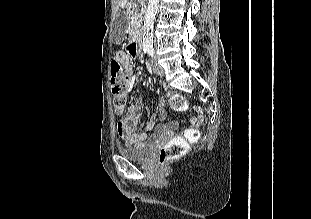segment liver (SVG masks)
Here are the masks:
<instances>
[{"label": "liver", "mask_w": 311, "mask_h": 219, "mask_svg": "<svg viewBox=\"0 0 311 219\" xmlns=\"http://www.w3.org/2000/svg\"><path fill=\"white\" fill-rule=\"evenodd\" d=\"M124 2H125V0H112L113 15H114V17L117 15L121 4L124 3Z\"/></svg>", "instance_id": "1"}]
</instances>
